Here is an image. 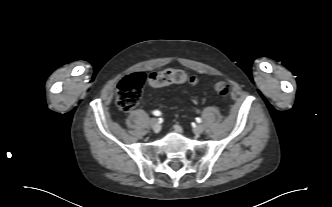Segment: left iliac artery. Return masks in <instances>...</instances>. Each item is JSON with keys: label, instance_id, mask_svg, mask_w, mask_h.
<instances>
[{"label": "left iliac artery", "instance_id": "left-iliac-artery-1", "mask_svg": "<svg viewBox=\"0 0 332 207\" xmlns=\"http://www.w3.org/2000/svg\"><path fill=\"white\" fill-rule=\"evenodd\" d=\"M196 121H197L198 123H200L202 120H201V118L197 117V118H196Z\"/></svg>", "mask_w": 332, "mask_h": 207}]
</instances>
